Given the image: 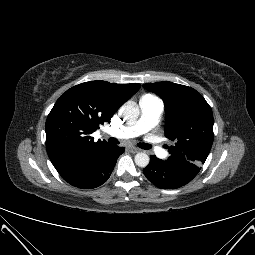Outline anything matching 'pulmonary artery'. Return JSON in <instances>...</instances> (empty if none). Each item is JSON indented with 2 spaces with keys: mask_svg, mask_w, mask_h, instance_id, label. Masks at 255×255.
<instances>
[{
  "mask_svg": "<svg viewBox=\"0 0 255 255\" xmlns=\"http://www.w3.org/2000/svg\"><path fill=\"white\" fill-rule=\"evenodd\" d=\"M141 115L138 120L127 123L120 128L110 129L109 134L117 138H133L148 132L158 122L163 113V102L157 97L146 95L140 102ZM151 148L158 155H163L164 150L157 145Z\"/></svg>",
  "mask_w": 255,
  "mask_h": 255,
  "instance_id": "pulmonary-artery-1",
  "label": "pulmonary artery"
}]
</instances>
